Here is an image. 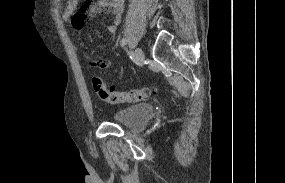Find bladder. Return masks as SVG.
Here are the masks:
<instances>
[{
    "label": "bladder",
    "instance_id": "31cf9c89",
    "mask_svg": "<svg viewBox=\"0 0 285 183\" xmlns=\"http://www.w3.org/2000/svg\"><path fill=\"white\" fill-rule=\"evenodd\" d=\"M154 114L149 104H135L119 109L115 114V122L129 129L144 127Z\"/></svg>",
    "mask_w": 285,
    "mask_h": 183
}]
</instances>
